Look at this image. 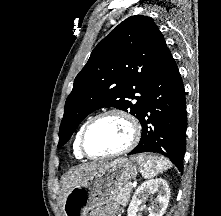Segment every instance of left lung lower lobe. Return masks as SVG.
<instances>
[{
	"mask_svg": "<svg viewBox=\"0 0 221 216\" xmlns=\"http://www.w3.org/2000/svg\"><path fill=\"white\" fill-rule=\"evenodd\" d=\"M139 121L141 139L128 155L159 153L167 156L182 172L187 128L185 90L168 48L151 75Z\"/></svg>",
	"mask_w": 221,
	"mask_h": 216,
	"instance_id": "left-lung-lower-lobe-1",
	"label": "left lung lower lobe"
}]
</instances>
